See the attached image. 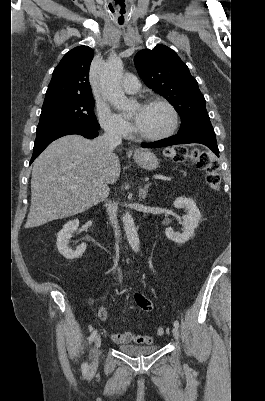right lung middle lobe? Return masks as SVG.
Returning <instances> with one entry per match:
<instances>
[{
    "label": "right lung middle lobe",
    "instance_id": "1",
    "mask_svg": "<svg viewBox=\"0 0 265 401\" xmlns=\"http://www.w3.org/2000/svg\"><path fill=\"white\" fill-rule=\"evenodd\" d=\"M94 99L78 97L43 105L36 133L52 127H82L100 129L93 112Z\"/></svg>",
    "mask_w": 265,
    "mask_h": 401
}]
</instances>
